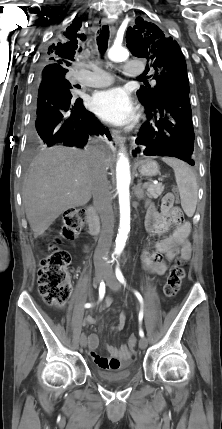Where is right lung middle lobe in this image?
Listing matches in <instances>:
<instances>
[{
  "mask_svg": "<svg viewBox=\"0 0 222 429\" xmlns=\"http://www.w3.org/2000/svg\"><path fill=\"white\" fill-rule=\"evenodd\" d=\"M45 76V75H41L40 79ZM51 78H53L54 80H56L58 83L67 86L68 88H71V84L68 82V80L65 78L64 74L61 75H51Z\"/></svg>",
  "mask_w": 222,
  "mask_h": 429,
  "instance_id": "1",
  "label": "right lung middle lobe"
}]
</instances>
